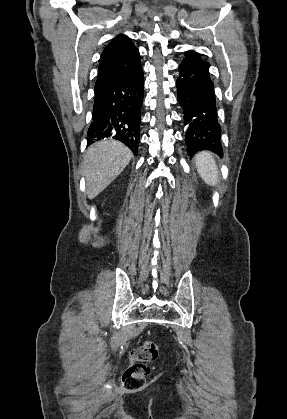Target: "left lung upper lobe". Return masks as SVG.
I'll list each match as a JSON object with an SVG mask.
<instances>
[{
  "label": "left lung upper lobe",
  "mask_w": 287,
  "mask_h": 419,
  "mask_svg": "<svg viewBox=\"0 0 287 419\" xmlns=\"http://www.w3.org/2000/svg\"><path fill=\"white\" fill-rule=\"evenodd\" d=\"M186 58H192V59H200V56L198 53L194 52V51H187L185 53Z\"/></svg>",
  "instance_id": "obj_1"
}]
</instances>
